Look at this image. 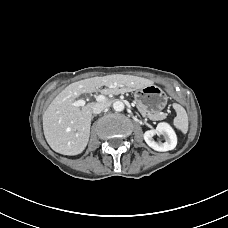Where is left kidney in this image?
I'll return each instance as SVG.
<instances>
[{"label": "left kidney", "mask_w": 228, "mask_h": 228, "mask_svg": "<svg viewBox=\"0 0 228 228\" xmlns=\"http://www.w3.org/2000/svg\"><path fill=\"white\" fill-rule=\"evenodd\" d=\"M162 135L165 142H155L154 135ZM144 140L149 147L156 151L165 152L173 150L177 145V136L173 128L165 122L159 123L154 130H148L144 133Z\"/></svg>", "instance_id": "1"}]
</instances>
